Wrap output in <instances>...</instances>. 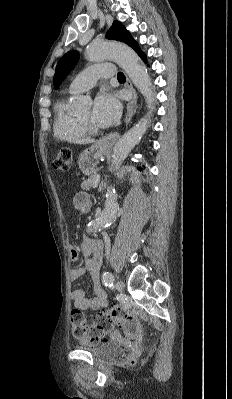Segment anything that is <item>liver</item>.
Listing matches in <instances>:
<instances>
[{
  "instance_id": "6515ba94",
  "label": "liver",
  "mask_w": 232,
  "mask_h": 399,
  "mask_svg": "<svg viewBox=\"0 0 232 399\" xmlns=\"http://www.w3.org/2000/svg\"><path fill=\"white\" fill-rule=\"evenodd\" d=\"M78 144H91V142H84V140H80V142H78Z\"/></svg>"
}]
</instances>
